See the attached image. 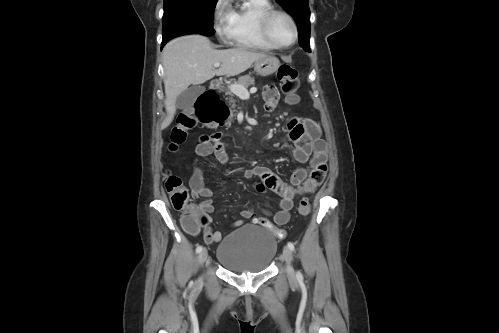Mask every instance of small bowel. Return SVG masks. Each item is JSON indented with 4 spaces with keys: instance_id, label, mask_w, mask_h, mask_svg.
Wrapping results in <instances>:
<instances>
[{
    "instance_id": "obj_1",
    "label": "small bowel",
    "mask_w": 499,
    "mask_h": 333,
    "mask_svg": "<svg viewBox=\"0 0 499 333\" xmlns=\"http://www.w3.org/2000/svg\"><path fill=\"white\" fill-rule=\"evenodd\" d=\"M265 107L272 111L278 102V92L273 85L264 88ZM288 138L293 143L294 149L292 159L298 164H307L306 167H298L294 170L290 183L283 182L271 170L263 166H256L243 171L244 178L258 177L260 182L256 189L260 192L270 190L280 196L279 209L272 217L277 225H284L290 220V212L294 206V198L297 195L314 191L325 179L327 173V149L326 143L321 138V130L318 124L311 119L292 118L288 125ZM221 132H215L209 136H203L196 146L195 154L200 157L214 155L216 159L226 164L228 155L222 143ZM193 198H203L199 207L204 212L207 220L209 214L214 211L212 201V189L206 185L203 178V169L199 165L193 167L189 180ZM267 214H271L269 208ZM253 215L252 208L243 209L240 212L241 219L232 223L238 227L245 223ZM195 234L197 232H194ZM204 237L206 243H217L222 239L219 231L207 230Z\"/></svg>"
}]
</instances>
